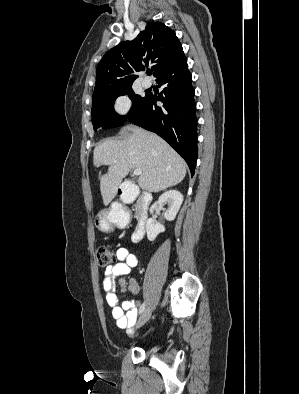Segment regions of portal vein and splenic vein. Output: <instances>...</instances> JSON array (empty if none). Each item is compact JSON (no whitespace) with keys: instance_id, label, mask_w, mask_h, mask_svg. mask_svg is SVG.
Wrapping results in <instances>:
<instances>
[{"instance_id":"18ae733b","label":"portal vein and splenic vein","mask_w":299,"mask_h":394,"mask_svg":"<svg viewBox=\"0 0 299 394\" xmlns=\"http://www.w3.org/2000/svg\"><path fill=\"white\" fill-rule=\"evenodd\" d=\"M141 173H142L141 169H135L134 170V175H136V176L141 175Z\"/></svg>"}]
</instances>
